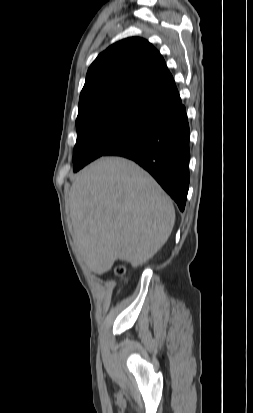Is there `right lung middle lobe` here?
<instances>
[{
	"label": "right lung middle lobe",
	"mask_w": 253,
	"mask_h": 413,
	"mask_svg": "<svg viewBox=\"0 0 253 413\" xmlns=\"http://www.w3.org/2000/svg\"><path fill=\"white\" fill-rule=\"evenodd\" d=\"M153 116L133 108L113 107L77 118L74 172L144 129Z\"/></svg>",
	"instance_id": "right-lung-middle-lobe-1"
}]
</instances>
